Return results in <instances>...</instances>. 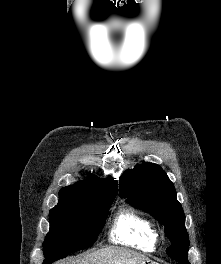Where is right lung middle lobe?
Masks as SVG:
<instances>
[{
  "label": "right lung middle lobe",
  "instance_id": "right-lung-middle-lobe-1",
  "mask_svg": "<svg viewBox=\"0 0 221 264\" xmlns=\"http://www.w3.org/2000/svg\"><path fill=\"white\" fill-rule=\"evenodd\" d=\"M115 197L96 198L76 207L57 205L49 213L50 232L44 241L43 264L91 246L105 224Z\"/></svg>",
  "mask_w": 221,
  "mask_h": 264
}]
</instances>
